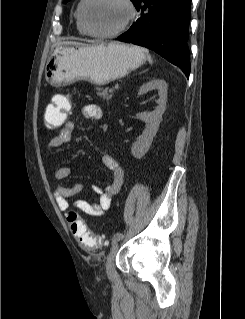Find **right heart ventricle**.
Here are the masks:
<instances>
[{"instance_id": "1", "label": "right heart ventricle", "mask_w": 245, "mask_h": 319, "mask_svg": "<svg viewBox=\"0 0 245 319\" xmlns=\"http://www.w3.org/2000/svg\"><path fill=\"white\" fill-rule=\"evenodd\" d=\"M84 0H80L75 11V19H76V27L77 30L80 34L82 35H87V32L85 31L82 23H81V18H80V12H81V7L83 4Z\"/></svg>"}]
</instances>
